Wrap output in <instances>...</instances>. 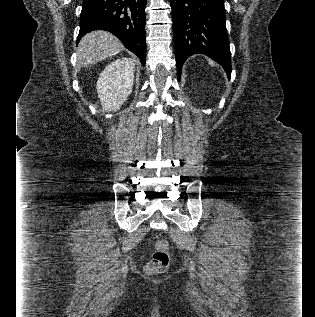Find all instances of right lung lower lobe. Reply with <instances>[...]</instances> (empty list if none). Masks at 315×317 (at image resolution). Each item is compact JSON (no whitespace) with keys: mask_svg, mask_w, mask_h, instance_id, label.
Masks as SVG:
<instances>
[{"mask_svg":"<svg viewBox=\"0 0 315 317\" xmlns=\"http://www.w3.org/2000/svg\"><path fill=\"white\" fill-rule=\"evenodd\" d=\"M146 0H84L78 40L93 30H106L117 36L145 65Z\"/></svg>","mask_w":315,"mask_h":317,"instance_id":"right-lung-lower-lobe-1","label":"right lung lower lobe"}]
</instances>
